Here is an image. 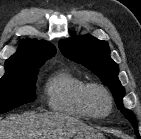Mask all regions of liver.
Listing matches in <instances>:
<instances>
[{
    "label": "liver",
    "mask_w": 141,
    "mask_h": 139,
    "mask_svg": "<svg viewBox=\"0 0 141 139\" xmlns=\"http://www.w3.org/2000/svg\"><path fill=\"white\" fill-rule=\"evenodd\" d=\"M87 130L93 129L60 112H25L0 119V139H71Z\"/></svg>",
    "instance_id": "6515ba94"
}]
</instances>
